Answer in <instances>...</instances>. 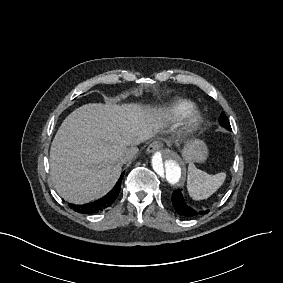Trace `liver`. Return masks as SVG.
<instances>
[{
    "label": "liver",
    "mask_w": 283,
    "mask_h": 283,
    "mask_svg": "<svg viewBox=\"0 0 283 283\" xmlns=\"http://www.w3.org/2000/svg\"><path fill=\"white\" fill-rule=\"evenodd\" d=\"M158 119L149 107L135 104H87L73 111L50 150V171L59 195L76 204L105 195L122 170L118 155L152 138Z\"/></svg>",
    "instance_id": "1"
}]
</instances>
